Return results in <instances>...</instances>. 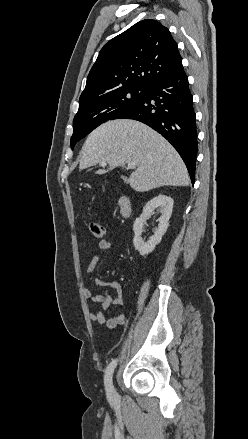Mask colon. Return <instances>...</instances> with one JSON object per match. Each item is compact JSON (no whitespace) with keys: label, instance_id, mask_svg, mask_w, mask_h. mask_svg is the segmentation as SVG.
<instances>
[{"label":"colon","instance_id":"1","mask_svg":"<svg viewBox=\"0 0 248 439\" xmlns=\"http://www.w3.org/2000/svg\"><path fill=\"white\" fill-rule=\"evenodd\" d=\"M89 229L91 234L97 239L102 238L105 232L103 225L99 222H91Z\"/></svg>","mask_w":248,"mask_h":439}]
</instances>
